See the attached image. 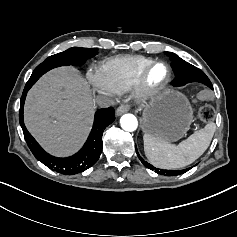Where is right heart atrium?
I'll use <instances>...</instances> for the list:
<instances>
[{"instance_id": "d8ad5b80", "label": "right heart atrium", "mask_w": 237, "mask_h": 237, "mask_svg": "<svg viewBox=\"0 0 237 237\" xmlns=\"http://www.w3.org/2000/svg\"><path fill=\"white\" fill-rule=\"evenodd\" d=\"M87 79L91 87L99 94L107 96H116L118 91L103 74L100 69H92L87 73Z\"/></svg>"}]
</instances>
